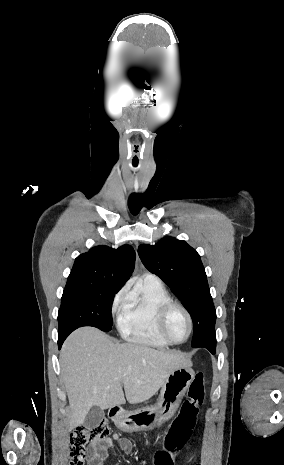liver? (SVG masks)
Here are the masks:
<instances>
[{"label": "liver", "mask_w": 284, "mask_h": 465, "mask_svg": "<svg viewBox=\"0 0 284 465\" xmlns=\"http://www.w3.org/2000/svg\"><path fill=\"white\" fill-rule=\"evenodd\" d=\"M60 365L71 413L66 419L68 431L83 425L91 407L124 405L125 397L130 405L144 403L173 371L192 367L182 353L115 343L94 327L77 329L66 339Z\"/></svg>", "instance_id": "liver-1"}]
</instances>
